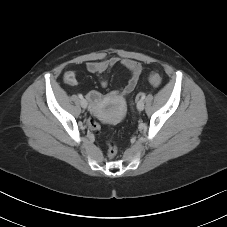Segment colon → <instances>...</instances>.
I'll use <instances>...</instances> for the list:
<instances>
[{
    "label": "colon",
    "mask_w": 227,
    "mask_h": 227,
    "mask_svg": "<svg viewBox=\"0 0 227 227\" xmlns=\"http://www.w3.org/2000/svg\"><path fill=\"white\" fill-rule=\"evenodd\" d=\"M149 81L154 87H158L161 84V77L158 73L153 72L149 76ZM88 126H89L90 130L96 134L100 133V131H101L100 123L98 122L97 119H95L93 117H91L88 120ZM116 155H117V146L114 142L110 141L108 143V157L112 159Z\"/></svg>",
    "instance_id": "1"
}]
</instances>
